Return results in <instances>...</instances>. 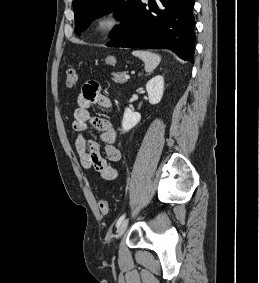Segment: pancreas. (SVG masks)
I'll list each match as a JSON object with an SVG mask.
<instances>
[{"mask_svg": "<svg viewBox=\"0 0 259 283\" xmlns=\"http://www.w3.org/2000/svg\"><path fill=\"white\" fill-rule=\"evenodd\" d=\"M126 73H113L112 74V80L116 83H125L127 79H125Z\"/></svg>", "mask_w": 259, "mask_h": 283, "instance_id": "cf45deb5", "label": "pancreas"}]
</instances>
